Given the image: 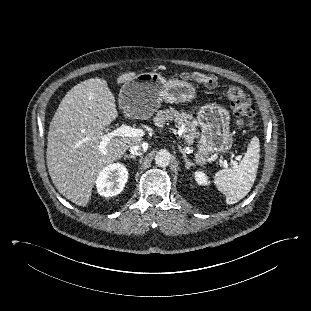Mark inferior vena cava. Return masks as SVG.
Listing matches in <instances>:
<instances>
[{
    "instance_id": "obj_1",
    "label": "inferior vena cava",
    "mask_w": 311,
    "mask_h": 311,
    "mask_svg": "<svg viewBox=\"0 0 311 311\" xmlns=\"http://www.w3.org/2000/svg\"><path fill=\"white\" fill-rule=\"evenodd\" d=\"M146 151V146L143 144L142 147L139 144H135L130 147V152L133 155H142Z\"/></svg>"
}]
</instances>
